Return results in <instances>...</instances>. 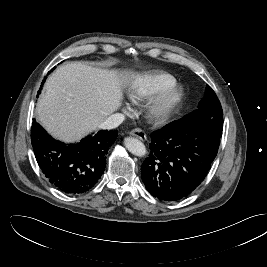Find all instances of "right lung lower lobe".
<instances>
[{
	"label": "right lung lower lobe",
	"mask_w": 267,
	"mask_h": 267,
	"mask_svg": "<svg viewBox=\"0 0 267 267\" xmlns=\"http://www.w3.org/2000/svg\"><path fill=\"white\" fill-rule=\"evenodd\" d=\"M32 146L36 160L46 178L68 194L89 191L99 181L106 166V154L117 131H99L77 144L65 145L50 137L33 119Z\"/></svg>",
	"instance_id": "98d812e1"
}]
</instances>
